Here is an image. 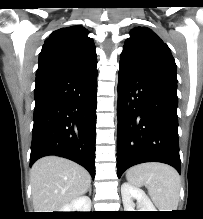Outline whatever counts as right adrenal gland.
<instances>
[{"mask_svg": "<svg viewBox=\"0 0 203 219\" xmlns=\"http://www.w3.org/2000/svg\"><path fill=\"white\" fill-rule=\"evenodd\" d=\"M87 191L89 192V195H91V193H92V187H91V185L89 186V188H88Z\"/></svg>", "mask_w": 203, "mask_h": 219, "instance_id": "2a0ac1e0", "label": "right adrenal gland"}]
</instances>
